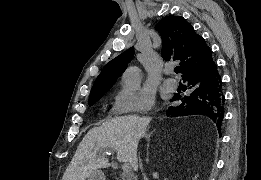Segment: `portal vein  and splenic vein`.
Wrapping results in <instances>:
<instances>
[{"label": "portal vein and splenic vein", "instance_id": "1", "mask_svg": "<svg viewBox=\"0 0 261 180\" xmlns=\"http://www.w3.org/2000/svg\"><path fill=\"white\" fill-rule=\"evenodd\" d=\"M113 152H116V150H113ZM122 170H123V172H130L129 164H126V162H125V164H123V166H122Z\"/></svg>", "mask_w": 261, "mask_h": 180}]
</instances>
